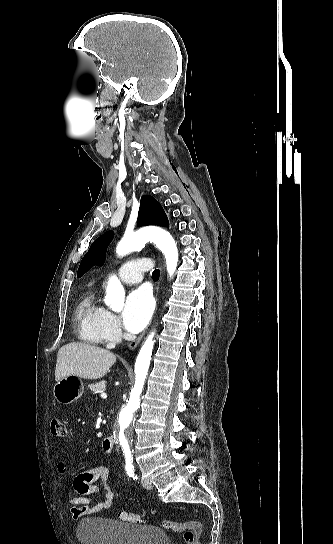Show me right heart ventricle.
<instances>
[{
    "instance_id": "obj_1",
    "label": "right heart ventricle",
    "mask_w": 333,
    "mask_h": 544,
    "mask_svg": "<svg viewBox=\"0 0 333 544\" xmlns=\"http://www.w3.org/2000/svg\"><path fill=\"white\" fill-rule=\"evenodd\" d=\"M105 312L93 293L80 302L77 307V326L83 340L94 344L104 341L101 326Z\"/></svg>"
}]
</instances>
